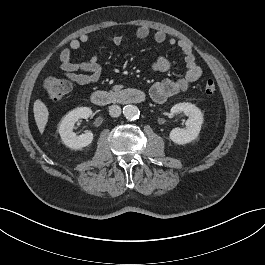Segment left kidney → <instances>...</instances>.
I'll return each instance as SVG.
<instances>
[{"instance_id":"1","label":"left kidney","mask_w":265,"mask_h":265,"mask_svg":"<svg viewBox=\"0 0 265 265\" xmlns=\"http://www.w3.org/2000/svg\"><path fill=\"white\" fill-rule=\"evenodd\" d=\"M172 114L184 113L188 116L186 128H175L170 132V139L179 145L187 144L195 140L201 130L203 114L201 110L191 103H178L171 108Z\"/></svg>"}]
</instances>
